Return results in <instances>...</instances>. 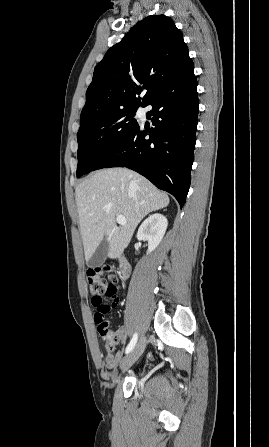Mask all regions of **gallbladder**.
Returning <instances> with one entry per match:
<instances>
[{
	"label": "gallbladder",
	"mask_w": 269,
	"mask_h": 447,
	"mask_svg": "<svg viewBox=\"0 0 269 447\" xmlns=\"http://www.w3.org/2000/svg\"><path fill=\"white\" fill-rule=\"evenodd\" d=\"M109 245V241L104 237L101 243H99L95 253H93L92 257L87 261L88 267H98V265L104 263L106 257H108Z\"/></svg>",
	"instance_id": "1"
}]
</instances>
